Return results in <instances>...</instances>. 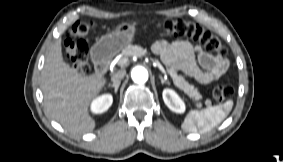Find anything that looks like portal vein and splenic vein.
Returning <instances> with one entry per match:
<instances>
[{
  "label": "portal vein and splenic vein",
  "mask_w": 283,
  "mask_h": 162,
  "mask_svg": "<svg viewBox=\"0 0 283 162\" xmlns=\"http://www.w3.org/2000/svg\"><path fill=\"white\" fill-rule=\"evenodd\" d=\"M154 62H155V64H156V66L166 75V70L164 69V67H163L157 60H155ZM127 63H128V59L125 58V59H123V60H121V61L119 62V65H120V66H124V65H126Z\"/></svg>",
  "instance_id": "portal-vein-and-splenic-vein-1"
}]
</instances>
